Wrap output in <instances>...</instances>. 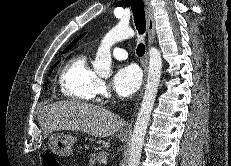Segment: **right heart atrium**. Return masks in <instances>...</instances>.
<instances>
[{"label":"right heart atrium","mask_w":231,"mask_h":166,"mask_svg":"<svg viewBox=\"0 0 231 166\" xmlns=\"http://www.w3.org/2000/svg\"><path fill=\"white\" fill-rule=\"evenodd\" d=\"M95 93L102 96L108 93L107 85L103 80L97 79Z\"/></svg>","instance_id":"obj_1"}]
</instances>
